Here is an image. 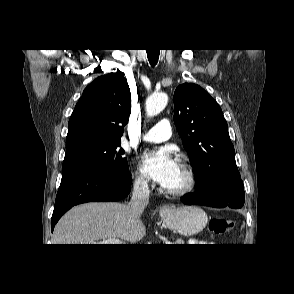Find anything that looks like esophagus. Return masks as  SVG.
I'll return each mask as SVG.
<instances>
[{
	"label": "esophagus",
	"mask_w": 294,
	"mask_h": 294,
	"mask_svg": "<svg viewBox=\"0 0 294 294\" xmlns=\"http://www.w3.org/2000/svg\"><path fill=\"white\" fill-rule=\"evenodd\" d=\"M171 211H172V207L168 205L163 206L161 209L162 213H170Z\"/></svg>",
	"instance_id": "obj_1"
}]
</instances>
